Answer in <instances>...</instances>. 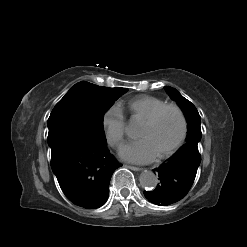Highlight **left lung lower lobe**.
<instances>
[{"label":"left lung lower lobe","mask_w":247,"mask_h":247,"mask_svg":"<svg viewBox=\"0 0 247 247\" xmlns=\"http://www.w3.org/2000/svg\"><path fill=\"white\" fill-rule=\"evenodd\" d=\"M197 145L187 142L156 168L159 184L155 190L144 191L149 201L167 206L181 200L188 193L201 162Z\"/></svg>","instance_id":"1"}]
</instances>
